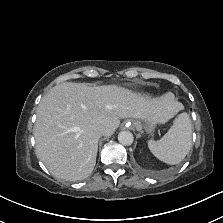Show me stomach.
<instances>
[{
	"mask_svg": "<svg viewBox=\"0 0 223 223\" xmlns=\"http://www.w3.org/2000/svg\"><path fill=\"white\" fill-rule=\"evenodd\" d=\"M132 125L138 131H141L142 129H144L149 133H151L156 126L155 122L151 119H137V120L132 121Z\"/></svg>",
	"mask_w": 223,
	"mask_h": 223,
	"instance_id": "stomach-1",
	"label": "stomach"
}]
</instances>
